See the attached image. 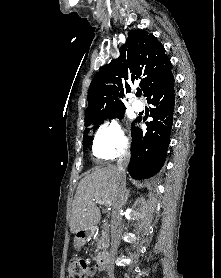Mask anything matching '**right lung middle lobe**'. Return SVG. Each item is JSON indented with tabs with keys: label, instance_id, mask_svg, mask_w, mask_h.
I'll return each instance as SVG.
<instances>
[{
	"label": "right lung middle lobe",
	"instance_id": "dd1d6c3e",
	"mask_svg": "<svg viewBox=\"0 0 221 278\" xmlns=\"http://www.w3.org/2000/svg\"><path fill=\"white\" fill-rule=\"evenodd\" d=\"M124 112H125V109L121 110V111H118V112H115V113L103 115V116L98 117L97 119H95L92 123L85 124V127H88L89 125H94L95 128H97V126L102 124L106 118H110V119H112V118H119V119H122L124 117ZM88 131H89L88 128H86L84 130V137H83V147H84V149L88 148L89 145L91 144V141H92V137L88 136Z\"/></svg>",
	"mask_w": 221,
	"mask_h": 278
}]
</instances>
